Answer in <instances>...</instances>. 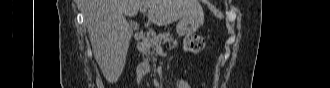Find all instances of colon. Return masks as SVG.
<instances>
[{
  "label": "colon",
  "instance_id": "5ec220e1",
  "mask_svg": "<svg viewBox=\"0 0 330 88\" xmlns=\"http://www.w3.org/2000/svg\"><path fill=\"white\" fill-rule=\"evenodd\" d=\"M205 44L203 36L191 34L184 39L183 49L188 53L197 54L204 49Z\"/></svg>",
  "mask_w": 330,
  "mask_h": 88
}]
</instances>
